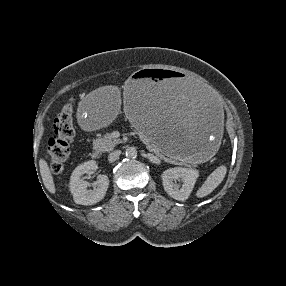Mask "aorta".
<instances>
[{
  "mask_svg": "<svg viewBox=\"0 0 286 286\" xmlns=\"http://www.w3.org/2000/svg\"><path fill=\"white\" fill-rule=\"evenodd\" d=\"M126 156L128 158H135L137 156V149L135 147H128L126 149Z\"/></svg>",
  "mask_w": 286,
  "mask_h": 286,
  "instance_id": "aorta-1",
  "label": "aorta"
}]
</instances>
